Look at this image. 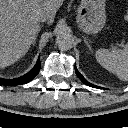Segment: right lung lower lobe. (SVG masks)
Returning a JSON list of instances; mask_svg holds the SVG:
<instances>
[{
  "instance_id": "right-lung-lower-lobe-1",
  "label": "right lung lower lobe",
  "mask_w": 128,
  "mask_h": 128,
  "mask_svg": "<svg viewBox=\"0 0 128 128\" xmlns=\"http://www.w3.org/2000/svg\"><path fill=\"white\" fill-rule=\"evenodd\" d=\"M39 70H40V57L38 58L37 63L35 64L33 69L30 72H28L26 75L11 80L0 78V84L15 86V85L28 83L39 73Z\"/></svg>"
}]
</instances>
